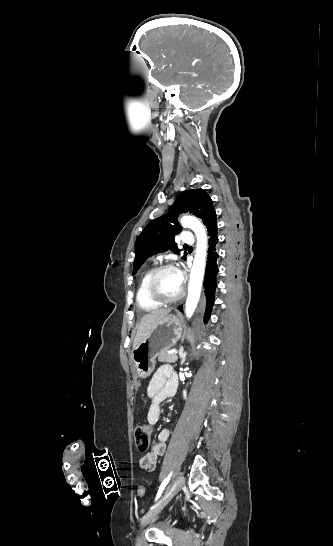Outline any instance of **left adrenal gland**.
I'll return each mask as SVG.
<instances>
[{
    "label": "left adrenal gland",
    "mask_w": 333,
    "mask_h": 546,
    "mask_svg": "<svg viewBox=\"0 0 333 546\" xmlns=\"http://www.w3.org/2000/svg\"><path fill=\"white\" fill-rule=\"evenodd\" d=\"M186 354H187V353L184 352V348L182 347V348L180 349V351H179V356H180V359H181V363H180L181 365H183L184 362H185Z\"/></svg>",
    "instance_id": "left-adrenal-gland-1"
}]
</instances>
